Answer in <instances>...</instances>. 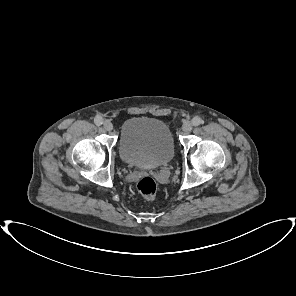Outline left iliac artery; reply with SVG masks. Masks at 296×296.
Returning <instances> with one entry per match:
<instances>
[{
	"label": "left iliac artery",
	"instance_id": "left-iliac-artery-1",
	"mask_svg": "<svg viewBox=\"0 0 296 296\" xmlns=\"http://www.w3.org/2000/svg\"><path fill=\"white\" fill-rule=\"evenodd\" d=\"M192 124H193L194 126H198V125H200V124H203V120H202L200 117H194V118L192 119Z\"/></svg>",
	"mask_w": 296,
	"mask_h": 296
}]
</instances>
